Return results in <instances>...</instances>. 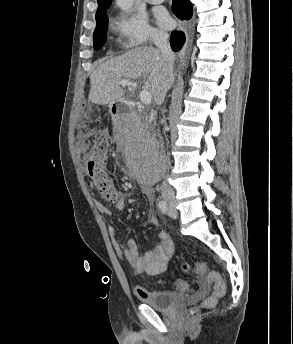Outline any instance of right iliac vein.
I'll use <instances>...</instances> for the list:
<instances>
[{
	"label": "right iliac vein",
	"instance_id": "obj_1",
	"mask_svg": "<svg viewBox=\"0 0 293 344\" xmlns=\"http://www.w3.org/2000/svg\"><path fill=\"white\" fill-rule=\"evenodd\" d=\"M170 206H173V203H170Z\"/></svg>",
	"mask_w": 293,
	"mask_h": 344
}]
</instances>
